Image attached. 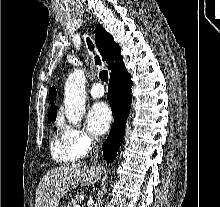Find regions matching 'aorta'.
<instances>
[{
  "instance_id": "1",
  "label": "aorta",
  "mask_w": 220,
  "mask_h": 207,
  "mask_svg": "<svg viewBox=\"0 0 220 207\" xmlns=\"http://www.w3.org/2000/svg\"><path fill=\"white\" fill-rule=\"evenodd\" d=\"M85 84L86 76L82 69L71 73L65 83V116L70 123L78 127L85 113Z\"/></svg>"
}]
</instances>
